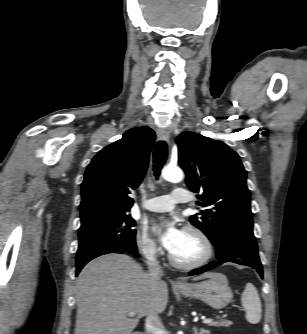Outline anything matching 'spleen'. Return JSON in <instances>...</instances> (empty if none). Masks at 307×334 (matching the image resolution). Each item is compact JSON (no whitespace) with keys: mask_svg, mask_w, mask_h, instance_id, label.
Listing matches in <instances>:
<instances>
[{"mask_svg":"<svg viewBox=\"0 0 307 334\" xmlns=\"http://www.w3.org/2000/svg\"><path fill=\"white\" fill-rule=\"evenodd\" d=\"M242 306L246 310V319L251 324H257L261 320L262 305L256 287L247 283L241 297Z\"/></svg>","mask_w":307,"mask_h":334,"instance_id":"3e777b00","label":"spleen"}]
</instances>
